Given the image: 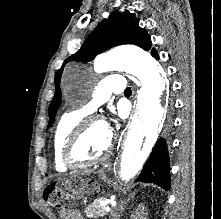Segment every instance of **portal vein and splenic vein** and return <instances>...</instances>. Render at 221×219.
I'll return each instance as SVG.
<instances>
[{
    "mask_svg": "<svg viewBox=\"0 0 221 219\" xmlns=\"http://www.w3.org/2000/svg\"><path fill=\"white\" fill-rule=\"evenodd\" d=\"M102 205H107V203L103 202ZM112 205H115V202H112ZM105 210L107 212H110L111 211V208L109 206H106Z\"/></svg>",
    "mask_w": 221,
    "mask_h": 219,
    "instance_id": "obj_1",
    "label": "portal vein and splenic vein"
}]
</instances>
